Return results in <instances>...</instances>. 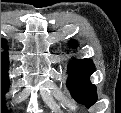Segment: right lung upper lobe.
<instances>
[{
  "instance_id": "1",
  "label": "right lung upper lobe",
  "mask_w": 121,
  "mask_h": 113,
  "mask_svg": "<svg viewBox=\"0 0 121 113\" xmlns=\"http://www.w3.org/2000/svg\"><path fill=\"white\" fill-rule=\"evenodd\" d=\"M1 45H2V41H1ZM8 54L7 51H5L4 53H1V67H5L8 68Z\"/></svg>"
}]
</instances>
